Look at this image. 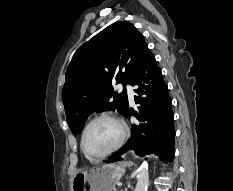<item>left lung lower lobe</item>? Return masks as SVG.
Here are the masks:
<instances>
[{"label": "left lung lower lobe", "instance_id": "0a47b994", "mask_svg": "<svg viewBox=\"0 0 233 191\" xmlns=\"http://www.w3.org/2000/svg\"><path fill=\"white\" fill-rule=\"evenodd\" d=\"M129 84L136 86L135 103L139 113L127 109L124 116L134 115L138 122L133 125V134L128 143L107 163L121 160L120 155L133 149L138 156L155 153L159 159L172 162L174 156V113L168 86L162 78L161 69L150 53Z\"/></svg>", "mask_w": 233, "mask_h": 191}]
</instances>
